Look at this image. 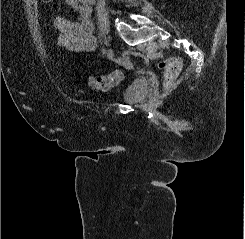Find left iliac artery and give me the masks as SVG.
Returning a JSON list of instances; mask_svg holds the SVG:
<instances>
[{
    "label": "left iliac artery",
    "mask_w": 245,
    "mask_h": 239,
    "mask_svg": "<svg viewBox=\"0 0 245 239\" xmlns=\"http://www.w3.org/2000/svg\"><path fill=\"white\" fill-rule=\"evenodd\" d=\"M105 52H106V50H105V48L103 47V48H102V54L104 55Z\"/></svg>",
    "instance_id": "44dca946"
}]
</instances>
